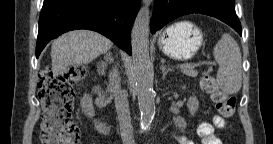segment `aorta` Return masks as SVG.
Segmentation results:
<instances>
[{"mask_svg":"<svg viewBox=\"0 0 273 144\" xmlns=\"http://www.w3.org/2000/svg\"><path fill=\"white\" fill-rule=\"evenodd\" d=\"M149 24L150 12L145 6L139 10L131 31L134 79L142 129H147L151 125L155 115V91L149 55Z\"/></svg>","mask_w":273,"mask_h":144,"instance_id":"obj_1","label":"aorta"}]
</instances>
